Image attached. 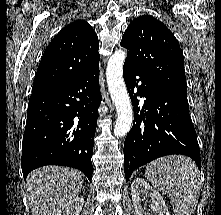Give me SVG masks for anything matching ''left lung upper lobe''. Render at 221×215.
Returning a JSON list of instances; mask_svg holds the SVG:
<instances>
[{
  "instance_id": "5c2ea615",
  "label": "left lung upper lobe",
  "mask_w": 221,
  "mask_h": 215,
  "mask_svg": "<svg viewBox=\"0 0 221 215\" xmlns=\"http://www.w3.org/2000/svg\"><path fill=\"white\" fill-rule=\"evenodd\" d=\"M120 45L128 49L126 64L187 94L182 50L172 32L159 20L149 15L134 19Z\"/></svg>"
}]
</instances>
